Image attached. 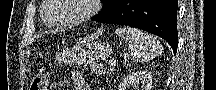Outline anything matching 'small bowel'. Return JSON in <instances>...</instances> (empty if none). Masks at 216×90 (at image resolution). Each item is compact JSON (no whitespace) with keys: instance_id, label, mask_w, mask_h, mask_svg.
Listing matches in <instances>:
<instances>
[{"instance_id":"1","label":"small bowel","mask_w":216,"mask_h":90,"mask_svg":"<svg viewBox=\"0 0 216 90\" xmlns=\"http://www.w3.org/2000/svg\"><path fill=\"white\" fill-rule=\"evenodd\" d=\"M70 79L73 83L74 90H91L90 85L80 72H72Z\"/></svg>"}]
</instances>
